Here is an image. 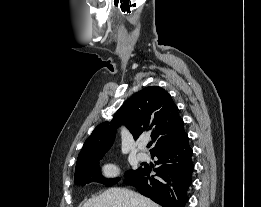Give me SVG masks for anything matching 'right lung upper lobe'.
<instances>
[{
	"mask_svg": "<svg viewBox=\"0 0 261 207\" xmlns=\"http://www.w3.org/2000/svg\"><path fill=\"white\" fill-rule=\"evenodd\" d=\"M124 124L137 140L150 135L157 150L170 147L187 137L178 107L164 89L151 86L135 93L109 122L99 124L85 141L76 167L90 159L103 157L112 146L116 129Z\"/></svg>",
	"mask_w": 261,
	"mask_h": 207,
	"instance_id": "right-lung-upper-lobe-1",
	"label": "right lung upper lobe"
}]
</instances>
